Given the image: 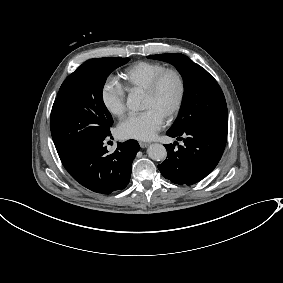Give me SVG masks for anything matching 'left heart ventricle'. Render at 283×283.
I'll list each match as a JSON object with an SVG mask.
<instances>
[{
  "label": "left heart ventricle",
  "mask_w": 283,
  "mask_h": 283,
  "mask_svg": "<svg viewBox=\"0 0 283 283\" xmlns=\"http://www.w3.org/2000/svg\"><path fill=\"white\" fill-rule=\"evenodd\" d=\"M178 92V83L173 75H168L156 94L147 95L143 93L141 109L153 108L166 115L167 111L173 105Z\"/></svg>",
  "instance_id": "left-heart-ventricle-1"
}]
</instances>
